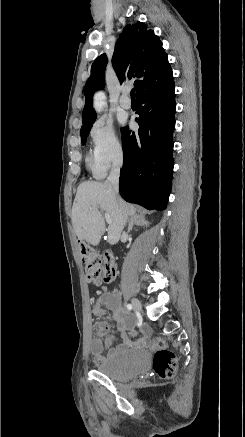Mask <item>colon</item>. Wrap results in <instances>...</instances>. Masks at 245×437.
Instances as JSON below:
<instances>
[{
    "label": "colon",
    "mask_w": 245,
    "mask_h": 437,
    "mask_svg": "<svg viewBox=\"0 0 245 437\" xmlns=\"http://www.w3.org/2000/svg\"><path fill=\"white\" fill-rule=\"evenodd\" d=\"M82 262L88 281L96 284H108L117 276V270L112 257L103 255L91 247H84L81 252ZM154 350L153 368L155 373L162 378H170L177 367V357L166 348L163 339L156 338L151 344Z\"/></svg>",
    "instance_id": "obj_1"
}]
</instances>
